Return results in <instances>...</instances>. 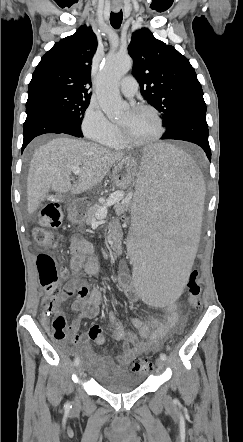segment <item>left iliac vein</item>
Returning <instances> with one entry per match:
<instances>
[{
  "label": "left iliac vein",
  "mask_w": 243,
  "mask_h": 442,
  "mask_svg": "<svg viewBox=\"0 0 243 442\" xmlns=\"http://www.w3.org/2000/svg\"><path fill=\"white\" fill-rule=\"evenodd\" d=\"M156 367L159 371H162L165 367L164 360L161 358L156 359Z\"/></svg>",
  "instance_id": "obj_1"
}]
</instances>
